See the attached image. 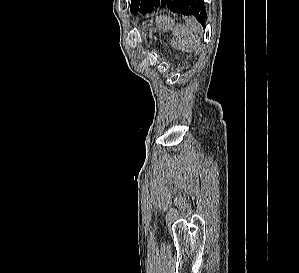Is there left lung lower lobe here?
Instances as JSON below:
<instances>
[{
    "label": "left lung lower lobe",
    "mask_w": 299,
    "mask_h": 273,
    "mask_svg": "<svg viewBox=\"0 0 299 273\" xmlns=\"http://www.w3.org/2000/svg\"><path fill=\"white\" fill-rule=\"evenodd\" d=\"M164 6L176 13L195 16L205 27L207 16L203 0H146L140 13H148Z\"/></svg>",
    "instance_id": "obj_1"
}]
</instances>
